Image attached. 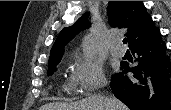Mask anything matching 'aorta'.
<instances>
[{"instance_id":"762f6f07","label":"aorta","mask_w":171,"mask_h":110,"mask_svg":"<svg viewBox=\"0 0 171 110\" xmlns=\"http://www.w3.org/2000/svg\"><path fill=\"white\" fill-rule=\"evenodd\" d=\"M83 54L86 58H93L96 53V42L91 36H87L82 42Z\"/></svg>"}]
</instances>
